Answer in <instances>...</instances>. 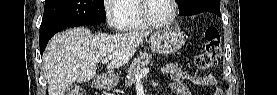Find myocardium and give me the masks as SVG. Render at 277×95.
<instances>
[{"instance_id": "obj_1", "label": "myocardium", "mask_w": 277, "mask_h": 95, "mask_svg": "<svg viewBox=\"0 0 277 95\" xmlns=\"http://www.w3.org/2000/svg\"><path fill=\"white\" fill-rule=\"evenodd\" d=\"M173 6V11H172V15L171 17L163 22H158L155 21L153 19H151L146 12V7H147V2L148 0H141L140 2V13L141 16L143 18V20L147 23L148 26L150 27H157V28H164V27H169L170 25L173 24V22L175 21L176 17H177V13H178V4L176 0H170Z\"/></svg>"}]
</instances>
